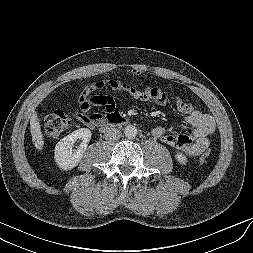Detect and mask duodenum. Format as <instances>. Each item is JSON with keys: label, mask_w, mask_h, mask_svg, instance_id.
Wrapping results in <instances>:
<instances>
[{"label": "duodenum", "mask_w": 253, "mask_h": 253, "mask_svg": "<svg viewBox=\"0 0 253 253\" xmlns=\"http://www.w3.org/2000/svg\"><path fill=\"white\" fill-rule=\"evenodd\" d=\"M127 122L126 117L121 114L115 113L108 117L107 121L101 126L102 131H108L114 127L123 125Z\"/></svg>", "instance_id": "obj_1"}]
</instances>
